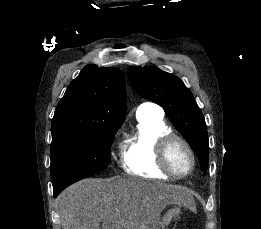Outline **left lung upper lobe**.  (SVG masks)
<instances>
[{"label": "left lung upper lobe", "mask_w": 261, "mask_h": 229, "mask_svg": "<svg viewBox=\"0 0 261 229\" xmlns=\"http://www.w3.org/2000/svg\"><path fill=\"white\" fill-rule=\"evenodd\" d=\"M127 75L138 95L164 109L200 159L201 169L206 171L209 160L207 127L191 91L177 76L153 66H130Z\"/></svg>", "instance_id": "obj_1"}]
</instances>
